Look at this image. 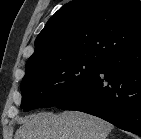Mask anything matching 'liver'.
Returning a JSON list of instances; mask_svg holds the SVG:
<instances>
[{"instance_id":"6515ba94","label":"liver","mask_w":141,"mask_h":139,"mask_svg":"<svg viewBox=\"0 0 141 139\" xmlns=\"http://www.w3.org/2000/svg\"><path fill=\"white\" fill-rule=\"evenodd\" d=\"M14 139H107L112 124L78 111L41 112L25 117Z\"/></svg>"}]
</instances>
